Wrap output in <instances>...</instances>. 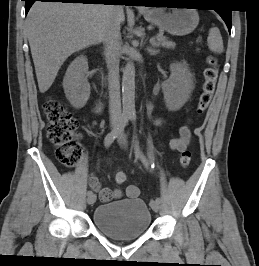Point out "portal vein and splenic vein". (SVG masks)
Here are the masks:
<instances>
[{"label": "portal vein and splenic vein", "mask_w": 259, "mask_h": 266, "mask_svg": "<svg viewBox=\"0 0 259 266\" xmlns=\"http://www.w3.org/2000/svg\"><path fill=\"white\" fill-rule=\"evenodd\" d=\"M150 41H151V43H153L155 40L154 39H151Z\"/></svg>", "instance_id": "obj_1"}]
</instances>
